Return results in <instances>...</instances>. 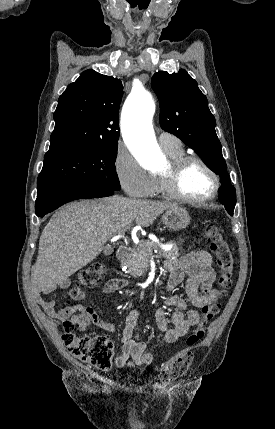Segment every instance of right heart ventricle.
<instances>
[{
  "label": "right heart ventricle",
  "instance_id": "1",
  "mask_svg": "<svg viewBox=\"0 0 275 429\" xmlns=\"http://www.w3.org/2000/svg\"><path fill=\"white\" fill-rule=\"evenodd\" d=\"M164 151L171 159L184 155V151L182 147L178 149H171V150L164 149ZM151 194H164L162 183L159 177L155 178V185Z\"/></svg>",
  "mask_w": 275,
  "mask_h": 429
}]
</instances>
